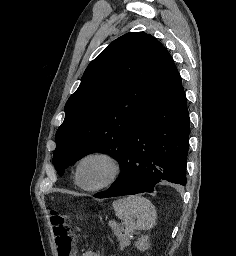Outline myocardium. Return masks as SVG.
<instances>
[{
    "instance_id": "f54148a6",
    "label": "myocardium",
    "mask_w": 236,
    "mask_h": 256,
    "mask_svg": "<svg viewBox=\"0 0 236 256\" xmlns=\"http://www.w3.org/2000/svg\"><path fill=\"white\" fill-rule=\"evenodd\" d=\"M92 157H103L107 159L113 167V172H112V175L105 182L96 186L89 187L84 185L81 180V166L87 159ZM122 169H123V166L120 159L113 152L108 150H95V151L86 153L78 160L75 168V177L78 185L81 188H83L84 190L93 192V191H98V190L107 188L112 184H114L119 179L122 173Z\"/></svg>"
}]
</instances>
